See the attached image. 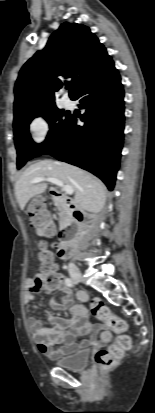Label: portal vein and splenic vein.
I'll return each mask as SVG.
<instances>
[{
    "label": "portal vein and splenic vein",
    "mask_w": 155,
    "mask_h": 413,
    "mask_svg": "<svg viewBox=\"0 0 155 413\" xmlns=\"http://www.w3.org/2000/svg\"><path fill=\"white\" fill-rule=\"evenodd\" d=\"M41 181H48V182H51V183L61 187L62 191H64L66 194H73V192H74L72 186L65 185L60 180H58L56 178H52V177H37V178L33 179L31 181V183H39Z\"/></svg>",
    "instance_id": "18ae733b"
}]
</instances>
